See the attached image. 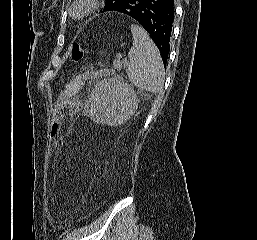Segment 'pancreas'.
<instances>
[{
  "mask_svg": "<svg viewBox=\"0 0 257 240\" xmlns=\"http://www.w3.org/2000/svg\"><path fill=\"white\" fill-rule=\"evenodd\" d=\"M113 65H114V68L118 70L121 69L122 67L121 63L118 60H114Z\"/></svg>",
  "mask_w": 257,
  "mask_h": 240,
  "instance_id": "cf45deb5",
  "label": "pancreas"
}]
</instances>
